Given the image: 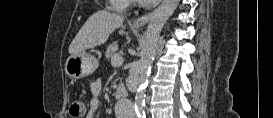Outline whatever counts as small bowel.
<instances>
[{"label": "small bowel", "instance_id": "c3829d8e", "mask_svg": "<svg viewBox=\"0 0 273 118\" xmlns=\"http://www.w3.org/2000/svg\"><path fill=\"white\" fill-rule=\"evenodd\" d=\"M102 81L97 79L91 84V98L89 100V113L88 117H93L99 108V95L102 91ZM130 111V108L126 104H116L115 114L117 118H124Z\"/></svg>", "mask_w": 273, "mask_h": 118}]
</instances>
